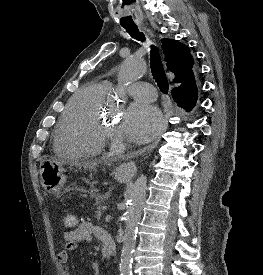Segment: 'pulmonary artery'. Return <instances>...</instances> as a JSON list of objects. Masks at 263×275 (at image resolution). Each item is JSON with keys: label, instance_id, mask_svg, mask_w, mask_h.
<instances>
[{"label": "pulmonary artery", "instance_id": "pulmonary-artery-1", "mask_svg": "<svg viewBox=\"0 0 263 275\" xmlns=\"http://www.w3.org/2000/svg\"><path fill=\"white\" fill-rule=\"evenodd\" d=\"M105 86L107 89H111L112 84L106 81ZM127 92L130 96L135 99L142 100V101H153L156 98V91L153 85L147 82H134L128 86Z\"/></svg>", "mask_w": 263, "mask_h": 275}]
</instances>
